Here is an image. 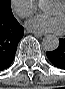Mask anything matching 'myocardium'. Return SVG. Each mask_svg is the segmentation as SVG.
Instances as JSON below:
<instances>
[{"mask_svg": "<svg viewBox=\"0 0 65 89\" xmlns=\"http://www.w3.org/2000/svg\"><path fill=\"white\" fill-rule=\"evenodd\" d=\"M56 3H60L65 7V1H63V0H58V1H56Z\"/></svg>", "mask_w": 65, "mask_h": 89, "instance_id": "f54148a6", "label": "myocardium"}]
</instances>
